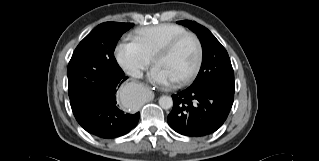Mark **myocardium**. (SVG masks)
Wrapping results in <instances>:
<instances>
[{"instance_id":"f54148a6","label":"myocardium","mask_w":319,"mask_h":161,"mask_svg":"<svg viewBox=\"0 0 319 161\" xmlns=\"http://www.w3.org/2000/svg\"><path fill=\"white\" fill-rule=\"evenodd\" d=\"M186 38H192L195 42L196 49H197V57L196 61L191 68V70L186 73L185 75L181 76L180 78L172 81L174 85H182L188 81H190L192 78H194L197 73L199 72L202 62H203V46L198 38V36L195 33L192 32H185L183 34H180L171 40H169L166 44H164L155 54L153 57L152 61L153 64L156 65L157 61L168 56L169 54L172 53V51L176 48V46L183 41Z\"/></svg>"}]
</instances>
